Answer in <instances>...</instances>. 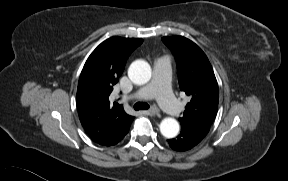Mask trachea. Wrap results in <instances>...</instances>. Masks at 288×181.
<instances>
[{
    "label": "trachea",
    "mask_w": 288,
    "mask_h": 181,
    "mask_svg": "<svg viewBox=\"0 0 288 181\" xmlns=\"http://www.w3.org/2000/svg\"><path fill=\"white\" fill-rule=\"evenodd\" d=\"M133 107L135 110H147L150 106L145 102H137Z\"/></svg>",
    "instance_id": "3493384b"
}]
</instances>
